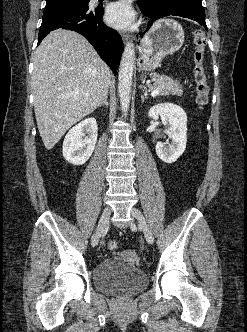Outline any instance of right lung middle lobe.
Returning a JSON list of instances; mask_svg holds the SVG:
<instances>
[{
    "instance_id": "obj_1",
    "label": "right lung middle lobe",
    "mask_w": 247,
    "mask_h": 332,
    "mask_svg": "<svg viewBox=\"0 0 247 332\" xmlns=\"http://www.w3.org/2000/svg\"><path fill=\"white\" fill-rule=\"evenodd\" d=\"M90 0H47L46 5H53L58 3H77V4H88Z\"/></svg>"
}]
</instances>
